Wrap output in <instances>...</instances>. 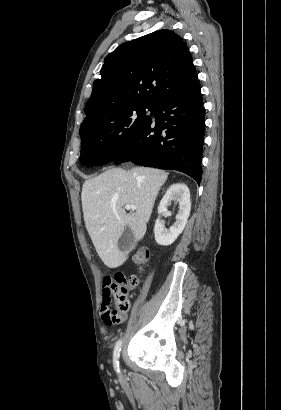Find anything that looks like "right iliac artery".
Here are the masks:
<instances>
[{
  "instance_id": "right-iliac-artery-1",
  "label": "right iliac artery",
  "mask_w": 281,
  "mask_h": 410,
  "mask_svg": "<svg viewBox=\"0 0 281 410\" xmlns=\"http://www.w3.org/2000/svg\"><path fill=\"white\" fill-rule=\"evenodd\" d=\"M122 347V339H120L114 348V355H113V363H114V368L119 371V357H120V351Z\"/></svg>"
}]
</instances>
